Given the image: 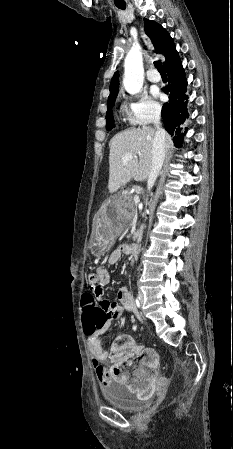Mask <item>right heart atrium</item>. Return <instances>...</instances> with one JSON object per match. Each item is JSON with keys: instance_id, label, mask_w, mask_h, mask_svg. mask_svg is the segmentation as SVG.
Returning a JSON list of instances; mask_svg holds the SVG:
<instances>
[{"instance_id": "right-heart-atrium-1", "label": "right heart atrium", "mask_w": 233, "mask_h": 449, "mask_svg": "<svg viewBox=\"0 0 233 449\" xmlns=\"http://www.w3.org/2000/svg\"><path fill=\"white\" fill-rule=\"evenodd\" d=\"M160 115V105L146 93L135 96L130 104V116L134 122L146 125L154 122Z\"/></svg>"}]
</instances>
